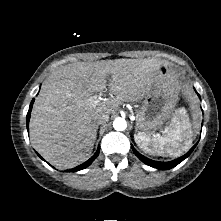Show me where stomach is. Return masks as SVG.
<instances>
[{
	"label": "stomach",
	"mask_w": 221,
	"mask_h": 221,
	"mask_svg": "<svg viewBox=\"0 0 221 221\" xmlns=\"http://www.w3.org/2000/svg\"><path fill=\"white\" fill-rule=\"evenodd\" d=\"M157 77L153 89L145 96L136 120L137 129L146 134H151L171 117L179 100L181 85L172 67L162 65Z\"/></svg>",
	"instance_id": "obj_1"
}]
</instances>
